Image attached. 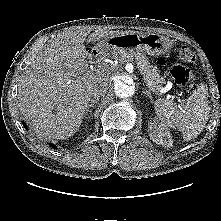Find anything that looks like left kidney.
<instances>
[{
  "label": "left kidney",
  "mask_w": 221,
  "mask_h": 221,
  "mask_svg": "<svg viewBox=\"0 0 221 221\" xmlns=\"http://www.w3.org/2000/svg\"><path fill=\"white\" fill-rule=\"evenodd\" d=\"M149 130V136L153 142L164 147L172 146L173 140L171 134L162 123H152L149 126Z\"/></svg>",
  "instance_id": "5707ae66"
}]
</instances>
